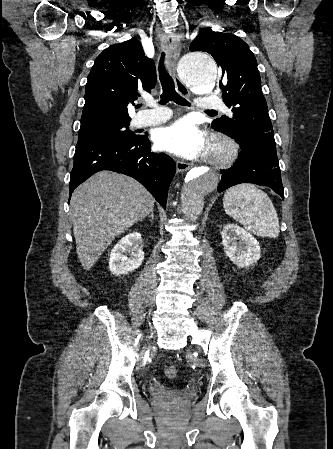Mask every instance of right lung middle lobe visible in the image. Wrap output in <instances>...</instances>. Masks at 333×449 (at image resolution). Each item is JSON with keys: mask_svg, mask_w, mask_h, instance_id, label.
Instances as JSON below:
<instances>
[{"mask_svg": "<svg viewBox=\"0 0 333 449\" xmlns=\"http://www.w3.org/2000/svg\"><path fill=\"white\" fill-rule=\"evenodd\" d=\"M129 123L130 120L107 122L80 128L78 142L90 139H124L129 141L139 139L141 135H137L128 129Z\"/></svg>", "mask_w": 333, "mask_h": 449, "instance_id": "obj_1", "label": "right lung middle lobe"}]
</instances>
